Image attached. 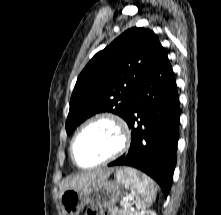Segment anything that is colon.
Returning a JSON list of instances; mask_svg holds the SVG:
<instances>
[{
  "label": "colon",
  "instance_id": "obj_1",
  "mask_svg": "<svg viewBox=\"0 0 221 215\" xmlns=\"http://www.w3.org/2000/svg\"><path fill=\"white\" fill-rule=\"evenodd\" d=\"M84 215H110V214L99 209H87Z\"/></svg>",
  "mask_w": 221,
  "mask_h": 215
}]
</instances>
